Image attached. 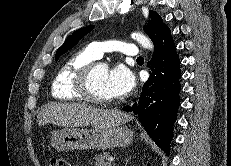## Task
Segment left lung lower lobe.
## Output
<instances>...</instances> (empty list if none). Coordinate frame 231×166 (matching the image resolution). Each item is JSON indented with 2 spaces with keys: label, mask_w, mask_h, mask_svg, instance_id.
Wrapping results in <instances>:
<instances>
[{
  "label": "left lung lower lobe",
  "mask_w": 231,
  "mask_h": 166,
  "mask_svg": "<svg viewBox=\"0 0 231 166\" xmlns=\"http://www.w3.org/2000/svg\"><path fill=\"white\" fill-rule=\"evenodd\" d=\"M154 47L152 59L147 63L151 76L143 86V96L123 110L136 114L148 135L169 154L181 90L180 59L169 28L154 42Z\"/></svg>",
  "instance_id": "left-lung-lower-lobe-1"
}]
</instances>
